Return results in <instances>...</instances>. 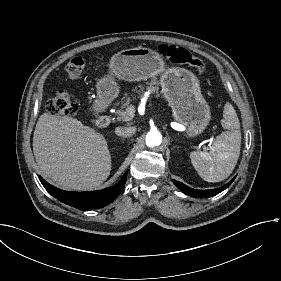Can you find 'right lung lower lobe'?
<instances>
[{
    "mask_svg": "<svg viewBox=\"0 0 281 281\" xmlns=\"http://www.w3.org/2000/svg\"><path fill=\"white\" fill-rule=\"evenodd\" d=\"M126 178L127 172L122 179L112 187L98 191L71 192L58 189L39 176L42 185L52 196L65 204L84 211L101 208L110 204L124 189Z\"/></svg>",
    "mask_w": 281,
    "mask_h": 281,
    "instance_id": "obj_1",
    "label": "right lung lower lobe"
}]
</instances>
